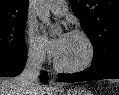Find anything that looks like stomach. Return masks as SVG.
I'll return each mask as SVG.
<instances>
[{
	"label": "stomach",
	"mask_w": 119,
	"mask_h": 95,
	"mask_svg": "<svg viewBox=\"0 0 119 95\" xmlns=\"http://www.w3.org/2000/svg\"><path fill=\"white\" fill-rule=\"evenodd\" d=\"M53 95H92V93L84 88H73L54 92Z\"/></svg>",
	"instance_id": "stomach-1"
}]
</instances>
